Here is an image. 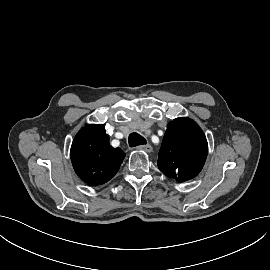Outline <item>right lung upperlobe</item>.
I'll return each instance as SVG.
<instances>
[{"label":"right lung upper lobe","mask_w":270,"mask_h":270,"mask_svg":"<svg viewBox=\"0 0 270 270\" xmlns=\"http://www.w3.org/2000/svg\"><path fill=\"white\" fill-rule=\"evenodd\" d=\"M70 156L76 174L88 185L96 186L117 173L125 153L110 145L103 125L90 124L75 136Z\"/></svg>","instance_id":"right-lung-upper-lobe-1"}]
</instances>
